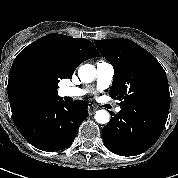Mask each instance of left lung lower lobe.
<instances>
[{
  "label": "left lung lower lobe",
  "mask_w": 178,
  "mask_h": 178,
  "mask_svg": "<svg viewBox=\"0 0 178 178\" xmlns=\"http://www.w3.org/2000/svg\"><path fill=\"white\" fill-rule=\"evenodd\" d=\"M111 115L102 137L107 149L121 156H135L148 150L165 127V124L123 109L117 115Z\"/></svg>",
  "instance_id": "left-lung-lower-lobe-1"
}]
</instances>
